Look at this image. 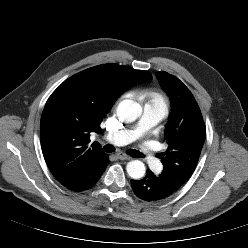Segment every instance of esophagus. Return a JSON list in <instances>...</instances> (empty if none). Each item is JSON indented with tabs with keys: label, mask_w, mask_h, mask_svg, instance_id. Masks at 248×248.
Instances as JSON below:
<instances>
[{
	"label": "esophagus",
	"mask_w": 248,
	"mask_h": 248,
	"mask_svg": "<svg viewBox=\"0 0 248 248\" xmlns=\"http://www.w3.org/2000/svg\"><path fill=\"white\" fill-rule=\"evenodd\" d=\"M117 156L120 160H131V157L126 155L125 153L123 152H119L117 153Z\"/></svg>",
	"instance_id": "34e87169"
}]
</instances>
